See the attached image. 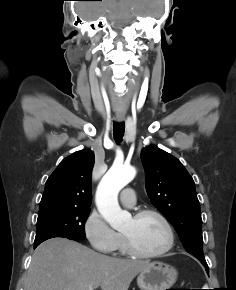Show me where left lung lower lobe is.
Wrapping results in <instances>:
<instances>
[{"instance_id":"left-lung-lower-lobe-1","label":"left lung lower lobe","mask_w":236,"mask_h":290,"mask_svg":"<svg viewBox=\"0 0 236 290\" xmlns=\"http://www.w3.org/2000/svg\"><path fill=\"white\" fill-rule=\"evenodd\" d=\"M206 271H207V272L209 271L208 267L206 268Z\"/></svg>"}]
</instances>
